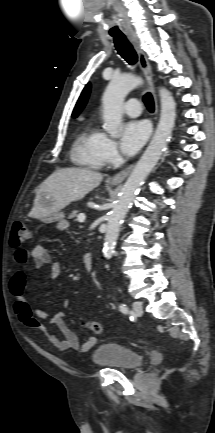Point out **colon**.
I'll use <instances>...</instances> for the list:
<instances>
[{
	"mask_svg": "<svg viewBox=\"0 0 215 433\" xmlns=\"http://www.w3.org/2000/svg\"><path fill=\"white\" fill-rule=\"evenodd\" d=\"M32 237L30 227L23 221H15L11 230V245L19 247L28 242ZM84 326L95 334L102 333V324L97 321L84 322Z\"/></svg>",
	"mask_w": 215,
	"mask_h": 433,
	"instance_id": "colon-1",
	"label": "colon"
}]
</instances>
